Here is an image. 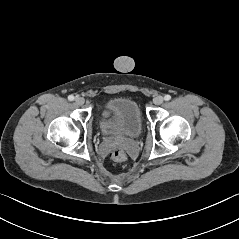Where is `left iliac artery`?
Wrapping results in <instances>:
<instances>
[{"instance_id": "44dca946", "label": "left iliac artery", "mask_w": 239, "mask_h": 239, "mask_svg": "<svg viewBox=\"0 0 239 239\" xmlns=\"http://www.w3.org/2000/svg\"><path fill=\"white\" fill-rule=\"evenodd\" d=\"M164 99H165L166 101H169V100L171 99V96L167 94V95L164 96Z\"/></svg>"}]
</instances>
